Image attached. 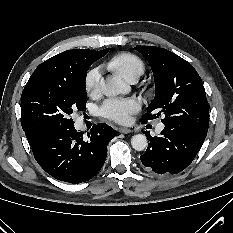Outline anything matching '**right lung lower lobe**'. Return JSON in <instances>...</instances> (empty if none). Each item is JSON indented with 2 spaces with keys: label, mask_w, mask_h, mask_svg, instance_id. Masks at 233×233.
<instances>
[{
  "label": "right lung lower lobe",
  "mask_w": 233,
  "mask_h": 233,
  "mask_svg": "<svg viewBox=\"0 0 233 233\" xmlns=\"http://www.w3.org/2000/svg\"><path fill=\"white\" fill-rule=\"evenodd\" d=\"M83 138L74 126L49 134L31 146L37 163L52 177L78 184L92 179L102 168L107 145L116 132L105 123L94 125Z\"/></svg>",
  "instance_id": "1"
}]
</instances>
